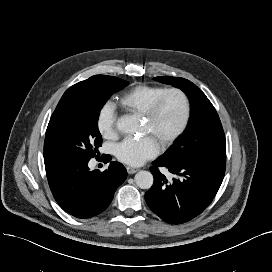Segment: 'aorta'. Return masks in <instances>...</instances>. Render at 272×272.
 Listing matches in <instances>:
<instances>
[{
    "label": "aorta",
    "instance_id": "1",
    "mask_svg": "<svg viewBox=\"0 0 272 272\" xmlns=\"http://www.w3.org/2000/svg\"><path fill=\"white\" fill-rule=\"evenodd\" d=\"M119 132L130 134L137 129V120L132 116H122L116 122ZM136 185L141 189H149L153 185V175L148 171H139L135 177Z\"/></svg>",
    "mask_w": 272,
    "mask_h": 272
}]
</instances>
